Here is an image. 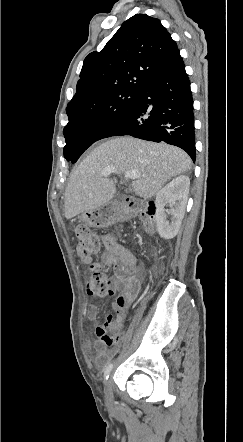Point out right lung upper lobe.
<instances>
[{"label": "right lung upper lobe", "instance_id": "right-lung-upper-lobe-1", "mask_svg": "<svg viewBox=\"0 0 243 442\" xmlns=\"http://www.w3.org/2000/svg\"><path fill=\"white\" fill-rule=\"evenodd\" d=\"M179 49L159 19L136 14L123 23L100 52L84 60L68 117L125 91H140L147 79Z\"/></svg>", "mask_w": 243, "mask_h": 442}]
</instances>
